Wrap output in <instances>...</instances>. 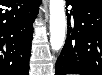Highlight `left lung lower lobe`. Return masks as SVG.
<instances>
[{"mask_svg":"<svg viewBox=\"0 0 102 75\" xmlns=\"http://www.w3.org/2000/svg\"><path fill=\"white\" fill-rule=\"evenodd\" d=\"M67 2L72 10L67 17V38L55 65V75H102V1Z\"/></svg>","mask_w":102,"mask_h":75,"instance_id":"0a47b994","label":"left lung lower lobe"}]
</instances>
